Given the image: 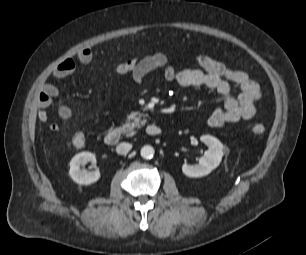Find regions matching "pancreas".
<instances>
[{
	"label": "pancreas",
	"mask_w": 306,
	"mask_h": 255,
	"mask_svg": "<svg viewBox=\"0 0 306 255\" xmlns=\"http://www.w3.org/2000/svg\"><path fill=\"white\" fill-rule=\"evenodd\" d=\"M127 124L124 128H128V130H124L126 133H129L134 128H140L142 125L146 123V120L143 119V115L139 112H131L127 115Z\"/></svg>",
	"instance_id": "pancreas-1"
}]
</instances>
